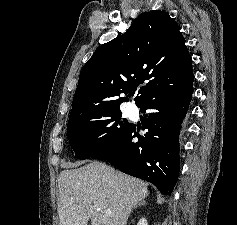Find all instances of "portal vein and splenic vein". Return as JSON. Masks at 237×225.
<instances>
[{"mask_svg":"<svg viewBox=\"0 0 237 225\" xmlns=\"http://www.w3.org/2000/svg\"><path fill=\"white\" fill-rule=\"evenodd\" d=\"M94 206L97 207L98 206L97 203H94Z\"/></svg>","mask_w":237,"mask_h":225,"instance_id":"1","label":"portal vein and splenic vein"}]
</instances>
